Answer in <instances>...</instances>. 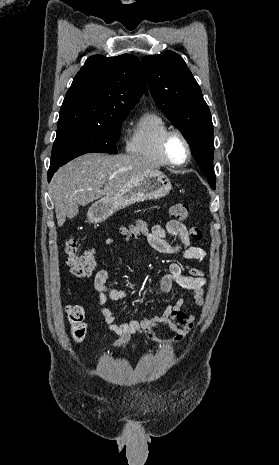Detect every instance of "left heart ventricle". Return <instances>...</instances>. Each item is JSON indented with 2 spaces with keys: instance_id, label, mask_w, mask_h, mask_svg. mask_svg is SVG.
<instances>
[{
  "instance_id": "b2bd125f",
  "label": "left heart ventricle",
  "mask_w": 279,
  "mask_h": 465,
  "mask_svg": "<svg viewBox=\"0 0 279 465\" xmlns=\"http://www.w3.org/2000/svg\"><path fill=\"white\" fill-rule=\"evenodd\" d=\"M168 153L171 159L176 163H181L185 160L187 155L186 146L178 136H174L170 139L168 143Z\"/></svg>"
}]
</instances>
